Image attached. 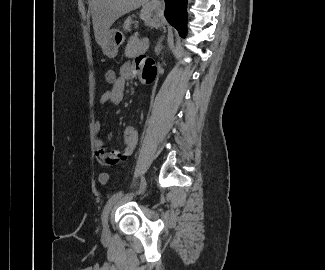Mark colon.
Wrapping results in <instances>:
<instances>
[{
  "label": "colon",
  "instance_id": "colon-1",
  "mask_svg": "<svg viewBox=\"0 0 325 270\" xmlns=\"http://www.w3.org/2000/svg\"><path fill=\"white\" fill-rule=\"evenodd\" d=\"M105 82L108 86H115L118 82V73L116 70L114 69H108L106 72H105ZM109 181V175L108 173H101L99 175V182L102 184V185H105L107 184Z\"/></svg>",
  "mask_w": 325,
  "mask_h": 270
}]
</instances>
